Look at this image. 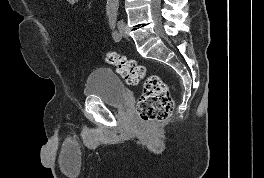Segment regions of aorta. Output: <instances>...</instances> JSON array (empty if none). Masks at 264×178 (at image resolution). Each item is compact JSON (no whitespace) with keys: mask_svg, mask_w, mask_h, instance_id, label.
<instances>
[{"mask_svg":"<svg viewBox=\"0 0 264 178\" xmlns=\"http://www.w3.org/2000/svg\"><path fill=\"white\" fill-rule=\"evenodd\" d=\"M119 0H107L106 10L107 11H117Z\"/></svg>","mask_w":264,"mask_h":178,"instance_id":"762f6f07","label":"aorta"}]
</instances>
